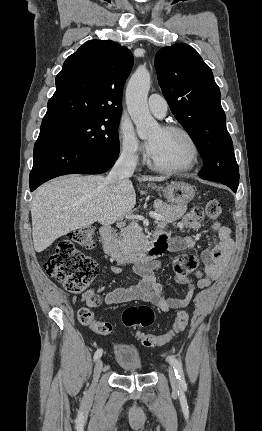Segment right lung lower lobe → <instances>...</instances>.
Returning a JSON list of instances; mask_svg holds the SVG:
<instances>
[{"label":"right lung lower lobe","mask_w":262,"mask_h":431,"mask_svg":"<svg viewBox=\"0 0 262 431\" xmlns=\"http://www.w3.org/2000/svg\"><path fill=\"white\" fill-rule=\"evenodd\" d=\"M119 154V153H118ZM92 147L50 136H39L34 145L30 190L65 174H100L110 169L118 158Z\"/></svg>","instance_id":"1"}]
</instances>
